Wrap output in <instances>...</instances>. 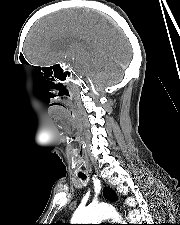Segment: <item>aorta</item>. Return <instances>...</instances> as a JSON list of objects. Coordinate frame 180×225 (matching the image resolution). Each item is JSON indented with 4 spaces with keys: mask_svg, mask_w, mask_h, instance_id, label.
Returning a JSON list of instances; mask_svg holds the SVG:
<instances>
[{
    "mask_svg": "<svg viewBox=\"0 0 180 225\" xmlns=\"http://www.w3.org/2000/svg\"><path fill=\"white\" fill-rule=\"evenodd\" d=\"M111 218L121 223V217L116 210L106 204L90 205L85 208H78L72 217V224H97L104 219Z\"/></svg>",
    "mask_w": 180,
    "mask_h": 225,
    "instance_id": "obj_1",
    "label": "aorta"
}]
</instances>
